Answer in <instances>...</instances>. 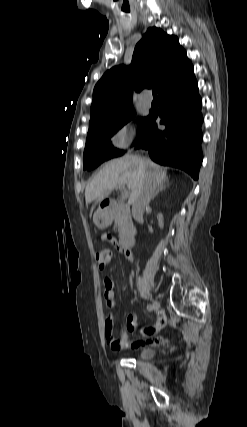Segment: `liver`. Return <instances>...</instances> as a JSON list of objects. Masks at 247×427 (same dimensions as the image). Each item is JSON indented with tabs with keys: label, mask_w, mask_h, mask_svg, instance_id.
Listing matches in <instances>:
<instances>
[{
	"label": "liver",
	"mask_w": 247,
	"mask_h": 427,
	"mask_svg": "<svg viewBox=\"0 0 247 427\" xmlns=\"http://www.w3.org/2000/svg\"><path fill=\"white\" fill-rule=\"evenodd\" d=\"M147 172L154 176L158 185L167 179L166 170L150 160L148 164H145L144 159L139 156L126 155L111 160L87 184L86 204L88 205L97 198L103 199L113 189L124 185L131 190L130 200L133 201L143 186Z\"/></svg>",
	"instance_id": "obj_1"
}]
</instances>
